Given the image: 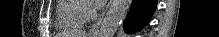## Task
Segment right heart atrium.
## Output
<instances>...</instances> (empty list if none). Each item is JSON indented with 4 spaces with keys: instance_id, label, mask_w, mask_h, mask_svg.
Wrapping results in <instances>:
<instances>
[{
    "instance_id": "right-heart-atrium-1",
    "label": "right heart atrium",
    "mask_w": 219,
    "mask_h": 37,
    "mask_svg": "<svg viewBox=\"0 0 219 37\" xmlns=\"http://www.w3.org/2000/svg\"><path fill=\"white\" fill-rule=\"evenodd\" d=\"M93 15V9L88 2H86L85 9L83 11V17L85 20L91 18Z\"/></svg>"
}]
</instances>
